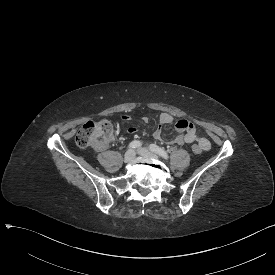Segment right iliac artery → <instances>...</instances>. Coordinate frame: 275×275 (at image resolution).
Returning a JSON list of instances; mask_svg holds the SVG:
<instances>
[{"instance_id":"right-iliac-artery-1","label":"right iliac artery","mask_w":275,"mask_h":275,"mask_svg":"<svg viewBox=\"0 0 275 275\" xmlns=\"http://www.w3.org/2000/svg\"><path fill=\"white\" fill-rule=\"evenodd\" d=\"M141 145H142V143H141L140 141L135 140V141H132V142L129 144L128 147H129L130 149H136V148L141 147Z\"/></svg>"}]
</instances>
